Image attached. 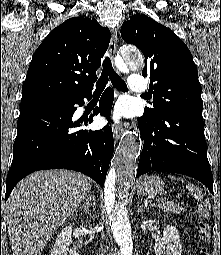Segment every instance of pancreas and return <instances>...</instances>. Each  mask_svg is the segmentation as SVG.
<instances>
[{
	"mask_svg": "<svg viewBox=\"0 0 221 255\" xmlns=\"http://www.w3.org/2000/svg\"><path fill=\"white\" fill-rule=\"evenodd\" d=\"M157 207L158 209L164 210V212H171L173 214H180L185 210L183 206H180L172 201H166L164 199L159 200Z\"/></svg>",
	"mask_w": 221,
	"mask_h": 255,
	"instance_id": "pancreas-1",
	"label": "pancreas"
}]
</instances>
